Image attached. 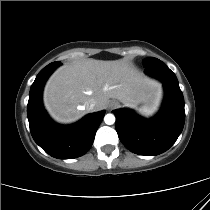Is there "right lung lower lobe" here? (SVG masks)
<instances>
[{
	"mask_svg": "<svg viewBox=\"0 0 210 210\" xmlns=\"http://www.w3.org/2000/svg\"><path fill=\"white\" fill-rule=\"evenodd\" d=\"M60 64L50 63L37 75L30 89L27 115L31 135L46 153L58 159H72L91 148L105 112L88 114L69 126L58 125L49 118L42 105V90L47 78Z\"/></svg>",
	"mask_w": 210,
	"mask_h": 210,
	"instance_id": "1",
	"label": "right lung lower lobe"
}]
</instances>
